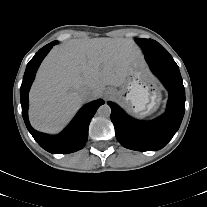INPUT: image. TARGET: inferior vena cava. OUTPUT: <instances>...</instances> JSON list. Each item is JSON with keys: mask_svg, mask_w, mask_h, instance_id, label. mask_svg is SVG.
<instances>
[{"mask_svg": "<svg viewBox=\"0 0 207 207\" xmlns=\"http://www.w3.org/2000/svg\"><path fill=\"white\" fill-rule=\"evenodd\" d=\"M80 95L84 99H88L91 95V91L88 88H83L80 90Z\"/></svg>", "mask_w": 207, "mask_h": 207, "instance_id": "inferior-vena-cava-1", "label": "inferior vena cava"}]
</instances>
